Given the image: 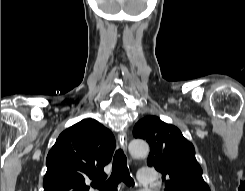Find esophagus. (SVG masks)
I'll return each mask as SVG.
<instances>
[{
    "label": "esophagus",
    "mask_w": 245,
    "mask_h": 191,
    "mask_svg": "<svg viewBox=\"0 0 245 191\" xmlns=\"http://www.w3.org/2000/svg\"><path fill=\"white\" fill-rule=\"evenodd\" d=\"M118 141L120 143L121 148L126 151L127 145H128V138H127V134L124 130L119 132Z\"/></svg>",
    "instance_id": "obj_1"
}]
</instances>
